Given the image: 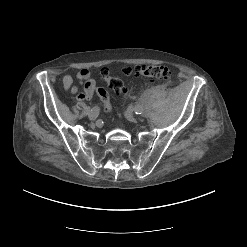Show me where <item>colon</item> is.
<instances>
[{"mask_svg":"<svg viewBox=\"0 0 247 247\" xmlns=\"http://www.w3.org/2000/svg\"><path fill=\"white\" fill-rule=\"evenodd\" d=\"M124 73L127 75H140L148 78L151 81L159 82L162 84H169L172 80V74L169 68L163 65H139L129 66L124 69ZM102 79L107 85L116 92L123 93L126 91V87L123 81L118 77L111 76L108 69L104 68L101 72ZM97 94L102 102L105 110H110V98L108 92L99 88Z\"/></svg>","mask_w":247,"mask_h":247,"instance_id":"colon-1","label":"colon"}]
</instances>
